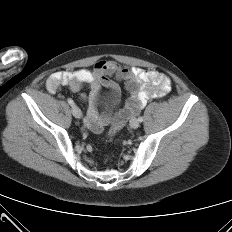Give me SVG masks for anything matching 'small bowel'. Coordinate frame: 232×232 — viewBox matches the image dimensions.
Listing matches in <instances>:
<instances>
[{"label":"small bowel","mask_w":232,"mask_h":232,"mask_svg":"<svg viewBox=\"0 0 232 232\" xmlns=\"http://www.w3.org/2000/svg\"><path fill=\"white\" fill-rule=\"evenodd\" d=\"M113 78L125 83L129 92L128 101L123 110L117 114H113L112 110L108 109L99 115L97 103L102 86L110 90L114 104L119 100V87ZM46 86L51 93L57 92L62 87L79 93L80 98L86 101L88 106L84 124L98 133L110 121L116 124L124 121V118L127 121L150 99L161 98L168 94L171 90V79L157 70L128 67L113 61L101 60L91 69L55 72L48 78ZM85 87L89 89L88 95L82 92Z\"/></svg>","instance_id":"obj_1"}]
</instances>
